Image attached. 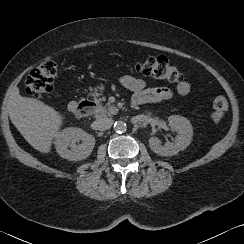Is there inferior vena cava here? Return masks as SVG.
<instances>
[{"instance_id": "1", "label": "inferior vena cava", "mask_w": 244, "mask_h": 244, "mask_svg": "<svg viewBox=\"0 0 244 244\" xmlns=\"http://www.w3.org/2000/svg\"><path fill=\"white\" fill-rule=\"evenodd\" d=\"M96 128L98 130L104 131L112 127L113 125V120L112 118H99L95 121Z\"/></svg>"}]
</instances>
